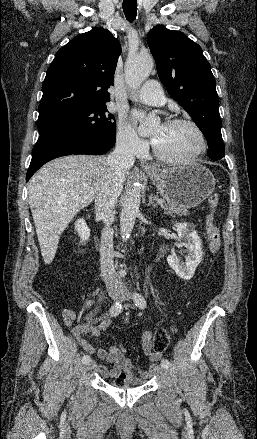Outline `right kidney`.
Segmentation results:
<instances>
[{"mask_svg":"<svg viewBox=\"0 0 257 439\" xmlns=\"http://www.w3.org/2000/svg\"><path fill=\"white\" fill-rule=\"evenodd\" d=\"M75 230L78 233L81 242H85L89 239L90 229L83 218H80L75 222Z\"/></svg>","mask_w":257,"mask_h":439,"instance_id":"1","label":"right kidney"}]
</instances>
